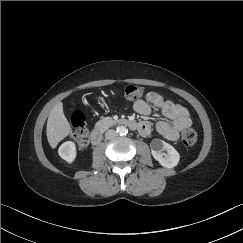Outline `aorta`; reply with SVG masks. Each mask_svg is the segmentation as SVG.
<instances>
[{"label":"aorta","mask_w":243,"mask_h":243,"mask_svg":"<svg viewBox=\"0 0 243 243\" xmlns=\"http://www.w3.org/2000/svg\"><path fill=\"white\" fill-rule=\"evenodd\" d=\"M119 135H126L128 133V129L125 126H119L116 130Z\"/></svg>","instance_id":"obj_1"}]
</instances>
